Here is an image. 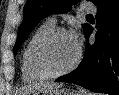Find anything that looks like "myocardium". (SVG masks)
Masks as SVG:
<instances>
[{
	"instance_id": "1",
	"label": "myocardium",
	"mask_w": 119,
	"mask_h": 95,
	"mask_svg": "<svg viewBox=\"0 0 119 95\" xmlns=\"http://www.w3.org/2000/svg\"><path fill=\"white\" fill-rule=\"evenodd\" d=\"M60 34L71 35V32L63 27H56L52 29L38 41L33 52V63L36 69L47 78H57L72 72L78 67L82 59V49L81 46L78 44L77 55L74 61L68 67L59 71H53L47 66L44 59L45 50L50 42Z\"/></svg>"
}]
</instances>
